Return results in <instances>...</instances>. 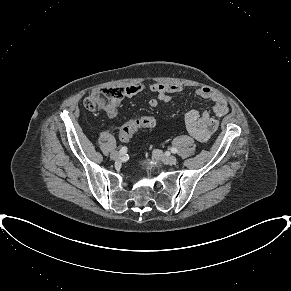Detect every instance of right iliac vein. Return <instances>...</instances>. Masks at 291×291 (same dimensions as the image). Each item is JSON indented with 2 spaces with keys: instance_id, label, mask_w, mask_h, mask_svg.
I'll return each instance as SVG.
<instances>
[{
  "instance_id": "right-iliac-vein-1",
  "label": "right iliac vein",
  "mask_w": 291,
  "mask_h": 291,
  "mask_svg": "<svg viewBox=\"0 0 291 291\" xmlns=\"http://www.w3.org/2000/svg\"><path fill=\"white\" fill-rule=\"evenodd\" d=\"M122 156V154H120L119 152L117 151H113L111 154H110V158L113 159V160H118L120 159Z\"/></svg>"
}]
</instances>
